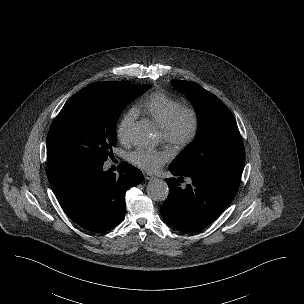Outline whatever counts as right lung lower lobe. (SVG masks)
<instances>
[{"label":"right lung lower lobe","instance_id":"right-lung-lower-lobe-1","mask_svg":"<svg viewBox=\"0 0 304 304\" xmlns=\"http://www.w3.org/2000/svg\"><path fill=\"white\" fill-rule=\"evenodd\" d=\"M142 172L122 162L119 175L103 171V164L74 170L51 183L65 213L82 228L105 232L125 216V193L143 181Z\"/></svg>","mask_w":304,"mask_h":304}]
</instances>
